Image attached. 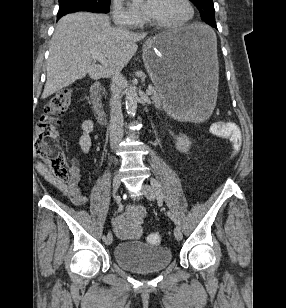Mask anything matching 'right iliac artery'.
Segmentation results:
<instances>
[{"instance_id":"82829eb1","label":"right iliac artery","mask_w":286,"mask_h":308,"mask_svg":"<svg viewBox=\"0 0 286 308\" xmlns=\"http://www.w3.org/2000/svg\"><path fill=\"white\" fill-rule=\"evenodd\" d=\"M123 208H124V207H123V203H119V202H118L117 211H118V212H122V211H123ZM105 239H106V236L104 235V236H103V240L105 241Z\"/></svg>"}]
</instances>
